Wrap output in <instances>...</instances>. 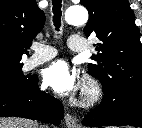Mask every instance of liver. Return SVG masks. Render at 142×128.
Instances as JSON below:
<instances>
[{"label": "liver", "mask_w": 142, "mask_h": 128, "mask_svg": "<svg viewBox=\"0 0 142 128\" xmlns=\"http://www.w3.org/2000/svg\"><path fill=\"white\" fill-rule=\"evenodd\" d=\"M0 128H39L36 121L23 118H0Z\"/></svg>", "instance_id": "obj_1"}]
</instances>
